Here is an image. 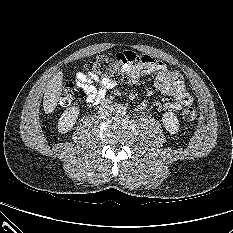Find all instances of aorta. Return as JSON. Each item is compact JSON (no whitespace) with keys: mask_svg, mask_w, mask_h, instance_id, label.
I'll list each match as a JSON object with an SVG mask.
<instances>
[{"mask_svg":"<svg viewBox=\"0 0 233 233\" xmlns=\"http://www.w3.org/2000/svg\"><path fill=\"white\" fill-rule=\"evenodd\" d=\"M116 113H117L118 115H124V114L126 113V108H125V106H123V105L117 106V108H116Z\"/></svg>","mask_w":233,"mask_h":233,"instance_id":"aorta-1","label":"aorta"}]
</instances>
